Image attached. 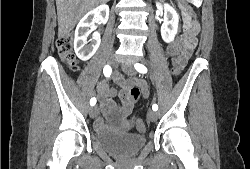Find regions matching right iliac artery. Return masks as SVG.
Wrapping results in <instances>:
<instances>
[{
  "label": "right iliac artery",
  "instance_id": "obj_1",
  "mask_svg": "<svg viewBox=\"0 0 250 169\" xmlns=\"http://www.w3.org/2000/svg\"><path fill=\"white\" fill-rule=\"evenodd\" d=\"M103 73L106 77H110L111 73H112V68L109 66V65H106L104 68H103ZM96 104V98L93 97L91 98L90 100V105L91 106H94Z\"/></svg>",
  "mask_w": 250,
  "mask_h": 169
}]
</instances>
